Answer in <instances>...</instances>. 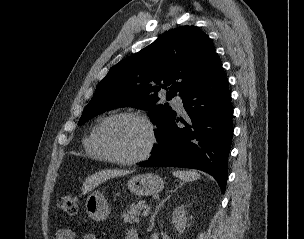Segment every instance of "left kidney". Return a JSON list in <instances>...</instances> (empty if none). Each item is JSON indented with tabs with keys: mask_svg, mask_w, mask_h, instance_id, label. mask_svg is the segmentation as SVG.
Listing matches in <instances>:
<instances>
[{
	"mask_svg": "<svg viewBox=\"0 0 304 239\" xmlns=\"http://www.w3.org/2000/svg\"><path fill=\"white\" fill-rule=\"evenodd\" d=\"M172 223L174 224L176 230L179 233H183L186 224H187V217H186V211L183 206L176 207L172 214Z\"/></svg>",
	"mask_w": 304,
	"mask_h": 239,
	"instance_id": "5707ae66",
	"label": "left kidney"
}]
</instances>
